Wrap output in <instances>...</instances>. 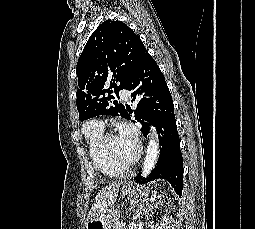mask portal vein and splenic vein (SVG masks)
<instances>
[{
  "label": "portal vein and splenic vein",
  "mask_w": 255,
  "mask_h": 229,
  "mask_svg": "<svg viewBox=\"0 0 255 229\" xmlns=\"http://www.w3.org/2000/svg\"><path fill=\"white\" fill-rule=\"evenodd\" d=\"M125 225V223H119V227H124Z\"/></svg>",
  "instance_id": "obj_1"
}]
</instances>
